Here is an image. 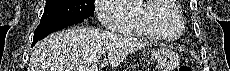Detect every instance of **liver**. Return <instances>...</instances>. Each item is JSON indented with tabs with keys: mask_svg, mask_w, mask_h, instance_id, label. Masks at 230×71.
<instances>
[{
	"mask_svg": "<svg viewBox=\"0 0 230 71\" xmlns=\"http://www.w3.org/2000/svg\"><path fill=\"white\" fill-rule=\"evenodd\" d=\"M148 45L150 42L144 39L72 27L39 42L31 55L28 71H79L95 64L97 70L109 65L115 67L126 56Z\"/></svg>",
	"mask_w": 230,
	"mask_h": 71,
	"instance_id": "obj_1",
	"label": "liver"
}]
</instances>
